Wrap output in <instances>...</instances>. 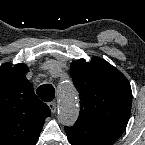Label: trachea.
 Wrapping results in <instances>:
<instances>
[{
    "label": "trachea",
    "instance_id": "trachea-1",
    "mask_svg": "<svg viewBox=\"0 0 145 145\" xmlns=\"http://www.w3.org/2000/svg\"><path fill=\"white\" fill-rule=\"evenodd\" d=\"M37 95L45 102H50L55 97V89L51 84H43L38 87Z\"/></svg>",
    "mask_w": 145,
    "mask_h": 145
}]
</instances>
